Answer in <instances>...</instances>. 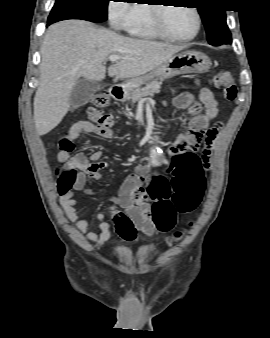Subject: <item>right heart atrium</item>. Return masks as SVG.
<instances>
[{"instance_id":"obj_1","label":"right heart atrium","mask_w":270,"mask_h":338,"mask_svg":"<svg viewBox=\"0 0 270 338\" xmlns=\"http://www.w3.org/2000/svg\"><path fill=\"white\" fill-rule=\"evenodd\" d=\"M112 26L124 28L132 18V6L127 2H115L108 9Z\"/></svg>"}]
</instances>
